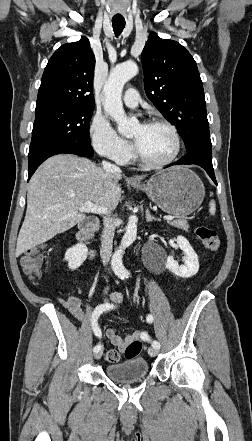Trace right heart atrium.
Segmentation results:
<instances>
[{
    "mask_svg": "<svg viewBox=\"0 0 252 441\" xmlns=\"http://www.w3.org/2000/svg\"><path fill=\"white\" fill-rule=\"evenodd\" d=\"M89 136L99 155L118 164H125L131 159V145L117 134L106 117L100 114L93 116L89 125Z\"/></svg>",
    "mask_w": 252,
    "mask_h": 441,
    "instance_id": "right-heart-atrium-1",
    "label": "right heart atrium"
}]
</instances>
